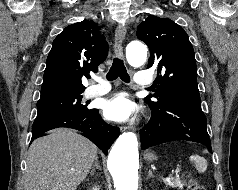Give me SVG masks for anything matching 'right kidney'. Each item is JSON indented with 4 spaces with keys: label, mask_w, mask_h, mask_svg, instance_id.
<instances>
[{
    "label": "right kidney",
    "mask_w": 238,
    "mask_h": 190,
    "mask_svg": "<svg viewBox=\"0 0 238 190\" xmlns=\"http://www.w3.org/2000/svg\"><path fill=\"white\" fill-rule=\"evenodd\" d=\"M92 190H99V188L95 186L92 188Z\"/></svg>",
    "instance_id": "right-kidney-1"
}]
</instances>
